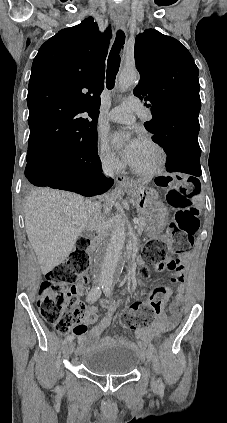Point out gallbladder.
Segmentation results:
<instances>
[{"label": "gallbladder", "mask_w": 227, "mask_h": 423, "mask_svg": "<svg viewBox=\"0 0 227 423\" xmlns=\"http://www.w3.org/2000/svg\"><path fill=\"white\" fill-rule=\"evenodd\" d=\"M28 186H29V184H28ZM81 237H91V231H90V229H84Z\"/></svg>", "instance_id": "bac80fb5"}]
</instances>
